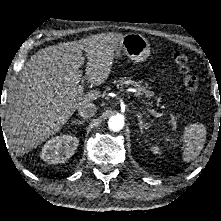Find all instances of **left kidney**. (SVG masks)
<instances>
[{"instance_id": "1", "label": "left kidney", "mask_w": 221, "mask_h": 221, "mask_svg": "<svg viewBox=\"0 0 221 221\" xmlns=\"http://www.w3.org/2000/svg\"><path fill=\"white\" fill-rule=\"evenodd\" d=\"M151 151L154 153V154H161V150L158 146H152L151 147Z\"/></svg>"}]
</instances>
